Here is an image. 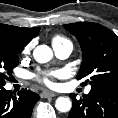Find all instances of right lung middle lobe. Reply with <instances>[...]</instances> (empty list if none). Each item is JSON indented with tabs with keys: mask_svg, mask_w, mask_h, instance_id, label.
I'll list each match as a JSON object with an SVG mask.
<instances>
[{
	"mask_svg": "<svg viewBox=\"0 0 118 118\" xmlns=\"http://www.w3.org/2000/svg\"><path fill=\"white\" fill-rule=\"evenodd\" d=\"M25 44L20 41L0 36V86H4L12 69L19 63V54Z\"/></svg>",
	"mask_w": 118,
	"mask_h": 118,
	"instance_id": "right-lung-middle-lobe-1",
	"label": "right lung middle lobe"
}]
</instances>
